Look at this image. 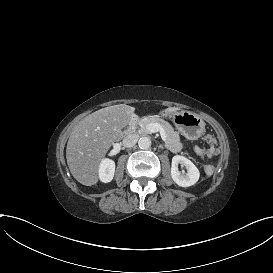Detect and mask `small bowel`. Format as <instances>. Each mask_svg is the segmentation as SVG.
I'll return each mask as SVG.
<instances>
[{
	"label": "small bowel",
	"mask_w": 273,
	"mask_h": 273,
	"mask_svg": "<svg viewBox=\"0 0 273 273\" xmlns=\"http://www.w3.org/2000/svg\"><path fill=\"white\" fill-rule=\"evenodd\" d=\"M206 136H207V139L208 141L210 142L211 144V150L213 152H216L218 150V145H217V141L215 140V137H214V134L211 132V131H208L206 133ZM198 154L200 156H202L203 158H206L208 156V153L206 152V150L204 148H201L199 151H198Z\"/></svg>",
	"instance_id": "small-bowel-1"
}]
</instances>
